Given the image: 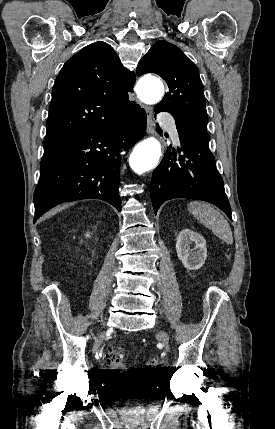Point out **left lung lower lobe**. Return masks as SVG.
<instances>
[{
  "label": "left lung lower lobe",
  "instance_id": "left-lung-lower-lobe-1",
  "mask_svg": "<svg viewBox=\"0 0 275 429\" xmlns=\"http://www.w3.org/2000/svg\"><path fill=\"white\" fill-rule=\"evenodd\" d=\"M162 110L155 108V112ZM156 130L162 133L159 125ZM183 155L167 149L164 159L153 171L150 194L155 214L167 200L197 199L212 203L231 218V208L225 194L223 179L209 150V139L190 129L177 126Z\"/></svg>",
  "mask_w": 275,
  "mask_h": 429
}]
</instances>
